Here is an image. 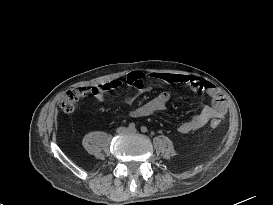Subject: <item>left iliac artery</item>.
<instances>
[{
  "mask_svg": "<svg viewBox=\"0 0 273 205\" xmlns=\"http://www.w3.org/2000/svg\"><path fill=\"white\" fill-rule=\"evenodd\" d=\"M141 131L144 132V133L147 132V127L142 126V127H141Z\"/></svg>",
  "mask_w": 273,
  "mask_h": 205,
  "instance_id": "1",
  "label": "left iliac artery"
}]
</instances>
